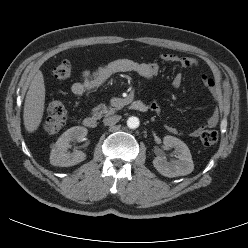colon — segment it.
I'll use <instances>...</instances> for the list:
<instances>
[{"instance_id":"1","label":"colon","mask_w":248,"mask_h":248,"mask_svg":"<svg viewBox=\"0 0 248 248\" xmlns=\"http://www.w3.org/2000/svg\"><path fill=\"white\" fill-rule=\"evenodd\" d=\"M53 76L59 80H65L72 73V66L68 60L61 61L52 71ZM67 120V110L61 101L55 100L48 104L47 115L44 122V129L49 134H55L64 126ZM204 146L210 147L218 140V132L205 130L200 135Z\"/></svg>"}]
</instances>
